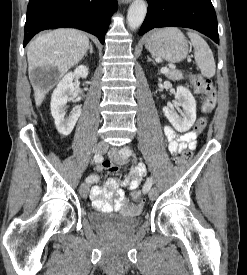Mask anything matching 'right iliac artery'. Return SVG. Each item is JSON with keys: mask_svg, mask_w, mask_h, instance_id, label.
<instances>
[{"mask_svg": "<svg viewBox=\"0 0 247 275\" xmlns=\"http://www.w3.org/2000/svg\"><path fill=\"white\" fill-rule=\"evenodd\" d=\"M102 160H103L102 155L95 154V156H94V162L95 163H100V162H102ZM97 181H98V176H96V175H90L86 178L87 183H94V182H97Z\"/></svg>", "mask_w": 247, "mask_h": 275, "instance_id": "right-iliac-artery-1", "label": "right iliac artery"}]
</instances>
